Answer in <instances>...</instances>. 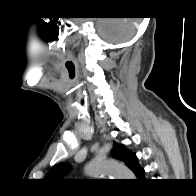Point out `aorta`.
I'll use <instances>...</instances> for the list:
<instances>
[{
	"label": "aorta",
	"mask_w": 196,
	"mask_h": 196,
	"mask_svg": "<svg viewBox=\"0 0 196 196\" xmlns=\"http://www.w3.org/2000/svg\"><path fill=\"white\" fill-rule=\"evenodd\" d=\"M86 173L93 177L109 175L116 179H134V174L128 167L112 159H95L89 162Z\"/></svg>",
	"instance_id": "762f6f07"
}]
</instances>
